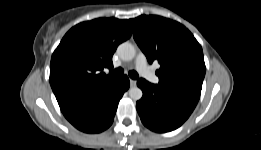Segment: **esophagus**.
<instances>
[{"mask_svg":"<svg viewBox=\"0 0 261 150\" xmlns=\"http://www.w3.org/2000/svg\"><path fill=\"white\" fill-rule=\"evenodd\" d=\"M130 86L135 87L136 86V81L133 79H130Z\"/></svg>","mask_w":261,"mask_h":150,"instance_id":"34e87169","label":"esophagus"}]
</instances>
